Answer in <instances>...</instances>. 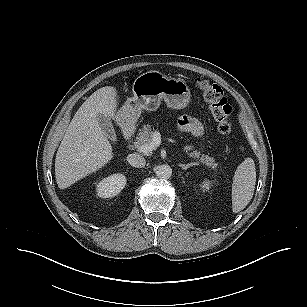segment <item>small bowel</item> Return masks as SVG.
Returning a JSON list of instances; mask_svg holds the SVG:
<instances>
[{"instance_id":"small-bowel-1","label":"small bowel","mask_w":307,"mask_h":307,"mask_svg":"<svg viewBox=\"0 0 307 307\" xmlns=\"http://www.w3.org/2000/svg\"><path fill=\"white\" fill-rule=\"evenodd\" d=\"M179 130L183 132H190L195 136H199L202 133V127L200 124L186 117L179 120Z\"/></svg>"}]
</instances>
